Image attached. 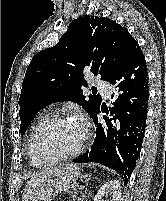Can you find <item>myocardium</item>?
Wrapping results in <instances>:
<instances>
[{"label": "myocardium", "instance_id": "1", "mask_svg": "<svg viewBox=\"0 0 166 201\" xmlns=\"http://www.w3.org/2000/svg\"><path fill=\"white\" fill-rule=\"evenodd\" d=\"M66 120H68V117L65 115H53V116L48 117L44 121H42L37 126V128L33 134V137H32L31 149H30L31 159H32L34 165L46 166V165L54 164L57 162L66 161V160L76 157L77 155H79L82 152L84 145H85V140H86L85 136H83L82 142L74 151L67 153V154H63V155L51 156V157L47 158L45 161H42L40 159V156L38 153V142H39V138H40L42 132L44 130H46L48 127L52 126L53 124L62 122V121H66Z\"/></svg>", "mask_w": 166, "mask_h": 201}]
</instances>
